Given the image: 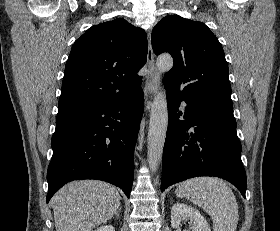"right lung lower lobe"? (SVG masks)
Listing matches in <instances>:
<instances>
[{
    "mask_svg": "<svg viewBox=\"0 0 280 231\" xmlns=\"http://www.w3.org/2000/svg\"><path fill=\"white\" fill-rule=\"evenodd\" d=\"M143 106L141 89L131 97L58 117L47 171V202L63 185L78 179L109 182L129 198Z\"/></svg>",
    "mask_w": 280,
    "mask_h": 231,
    "instance_id": "right-lung-lower-lobe-1",
    "label": "right lung lower lobe"
}]
</instances>
